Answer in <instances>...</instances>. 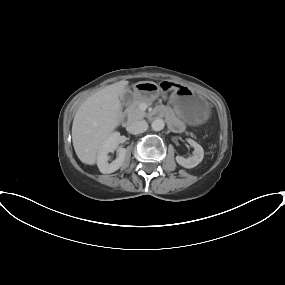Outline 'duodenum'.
<instances>
[{"label": "duodenum", "mask_w": 285, "mask_h": 285, "mask_svg": "<svg viewBox=\"0 0 285 285\" xmlns=\"http://www.w3.org/2000/svg\"><path fill=\"white\" fill-rule=\"evenodd\" d=\"M155 115V112L154 113H152L150 116H154Z\"/></svg>", "instance_id": "duodenum-1"}]
</instances>
